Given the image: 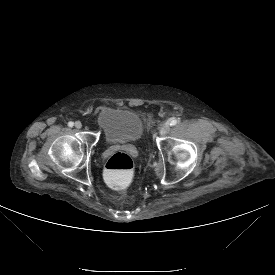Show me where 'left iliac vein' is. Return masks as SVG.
I'll return each instance as SVG.
<instances>
[{
	"instance_id": "obj_1",
	"label": "left iliac vein",
	"mask_w": 275,
	"mask_h": 275,
	"mask_svg": "<svg viewBox=\"0 0 275 275\" xmlns=\"http://www.w3.org/2000/svg\"><path fill=\"white\" fill-rule=\"evenodd\" d=\"M169 130H170L169 123L164 122V123L160 124V126H159V133L161 135H166L169 132Z\"/></svg>"
}]
</instances>
